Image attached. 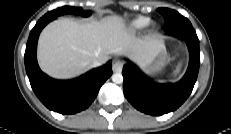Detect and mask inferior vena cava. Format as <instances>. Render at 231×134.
<instances>
[{
  "label": "inferior vena cava",
  "instance_id": "inferior-vena-cava-1",
  "mask_svg": "<svg viewBox=\"0 0 231 134\" xmlns=\"http://www.w3.org/2000/svg\"><path fill=\"white\" fill-rule=\"evenodd\" d=\"M103 63H105L103 60H100V59H96L92 62V67H97V66H100L102 65Z\"/></svg>",
  "mask_w": 231,
  "mask_h": 134
}]
</instances>
